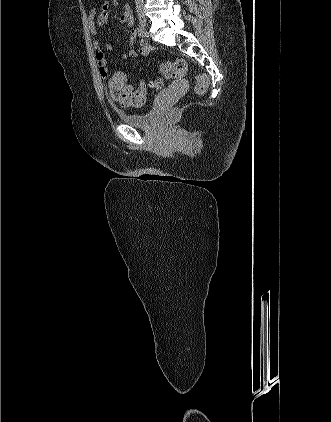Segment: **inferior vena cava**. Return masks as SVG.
<instances>
[{
	"instance_id": "inferior-vena-cava-1",
	"label": "inferior vena cava",
	"mask_w": 331,
	"mask_h": 422,
	"mask_svg": "<svg viewBox=\"0 0 331 422\" xmlns=\"http://www.w3.org/2000/svg\"><path fill=\"white\" fill-rule=\"evenodd\" d=\"M137 12L143 7V0H135Z\"/></svg>"
}]
</instances>
